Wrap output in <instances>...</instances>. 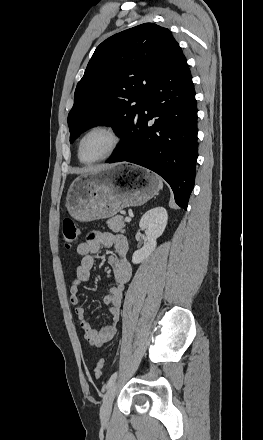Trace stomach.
<instances>
[{
	"instance_id": "obj_1",
	"label": "stomach",
	"mask_w": 263,
	"mask_h": 440,
	"mask_svg": "<svg viewBox=\"0 0 263 440\" xmlns=\"http://www.w3.org/2000/svg\"><path fill=\"white\" fill-rule=\"evenodd\" d=\"M158 191L159 177L149 170L106 166L88 171L71 183L66 207L78 221L105 219L126 207L143 205Z\"/></svg>"
}]
</instances>
